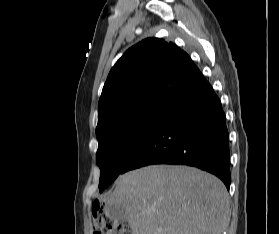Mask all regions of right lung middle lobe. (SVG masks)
Instances as JSON below:
<instances>
[{"label": "right lung middle lobe", "instance_id": "dd1d6c3e", "mask_svg": "<svg viewBox=\"0 0 279 234\" xmlns=\"http://www.w3.org/2000/svg\"><path fill=\"white\" fill-rule=\"evenodd\" d=\"M167 107L146 106L122 113L96 130V161L100 167L99 190L111 184L157 124Z\"/></svg>", "mask_w": 279, "mask_h": 234}]
</instances>
